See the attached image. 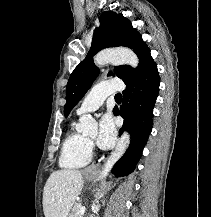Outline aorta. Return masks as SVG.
Listing matches in <instances>:
<instances>
[{
    "label": "aorta",
    "mask_w": 211,
    "mask_h": 217,
    "mask_svg": "<svg viewBox=\"0 0 211 217\" xmlns=\"http://www.w3.org/2000/svg\"><path fill=\"white\" fill-rule=\"evenodd\" d=\"M94 62L96 65L99 66L111 62L113 64H128L133 68H136L139 64V60L136 54L130 49H126V48L102 51L95 56ZM78 129L83 133L94 132L96 129L95 120L90 115H83L79 119ZM128 142H129V134L127 132H124L120 137L119 142L115 147V150L111 153V155L109 156L108 160L106 161V163L104 164L101 170L100 173L101 179L106 178V176L109 174L114 164L124 154Z\"/></svg>",
    "instance_id": "obj_1"
}]
</instances>
